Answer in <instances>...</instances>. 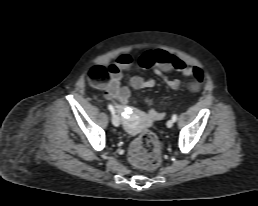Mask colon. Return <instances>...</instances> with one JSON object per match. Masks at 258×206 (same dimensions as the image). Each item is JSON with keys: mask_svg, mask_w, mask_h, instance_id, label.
<instances>
[{"mask_svg": "<svg viewBox=\"0 0 258 206\" xmlns=\"http://www.w3.org/2000/svg\"><path fill=\"white\" fill-rule=\"evenodd\" d=\"M89 79L93 83L103 84L108 79V70L95 66L89 71ZM129 159L138 168H156L161 161V147L157 136L148 130L140 134L131 144Z\"/></svg>", "mask_w": 258, "mask_h": 206, "instance_id": "5ec220e1", "label": "colon"}]
</instances>
